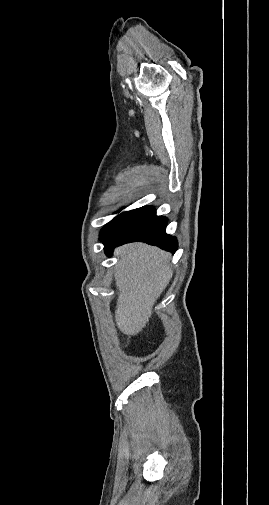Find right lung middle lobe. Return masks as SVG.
<instances>
[{
	"instance_id": "dd1d6c3e",
	"label": "right lung middle lobe",
	"mask_w": 269,
	"mask_h": 505,
	"mask_svg": "<svg viewBox=\"0 0 269 505\" xmlns=\"http://www.w3.org/2000/svg\"><path fill=\"white\" fill-rule=\"evenodd\" d=\"M114 220H115V218L113 220H111L109 223H107L104 226V228L101 230L100 239H103V237L105 236L106 232L108 231L109 227L111 226V224L113 223Z\"/></svg>"
}]
</instances>
